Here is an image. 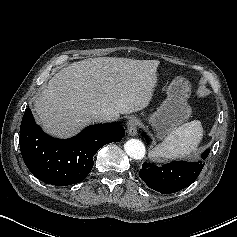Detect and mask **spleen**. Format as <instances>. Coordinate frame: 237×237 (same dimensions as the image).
<instances>
[{"instance_id": "obj_1", "label": "spleen", "mask_w": 237, "mask_h": 237, "mask_svg": "<svg viewBox=\"0 0 237 237\" xmlns=\"http://www.w3.org/2000/svg\"><path fill=\"white\" fill-rule=\"evenodd\" d=\"M203 137L201 122L194 120L173 130L162 143L153 148L152 159L188 158L197 149Z\"/></svg>"}]
</instances>
